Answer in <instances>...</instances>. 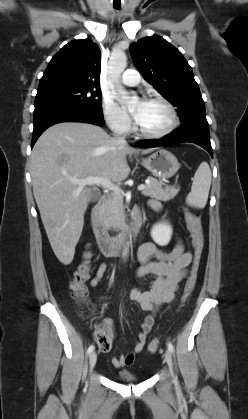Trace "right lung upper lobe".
<instances>
[{
  "label": "right lung upper lobe",
  "instance_id": "1",
  "mask_svg": "<svg viewBox=\"0 0 248 419\" xmlns=\"http://www.w3.org/2000/svg\"><path fill=\"white\" fill-rule=\"evenodd\" d=\"M101 52L89 39L66 44L49 62L38 90L58 87L99 88Z\"/></svg>",
  "mask_w": 248,
  "mask_h": 419
}]
</instances>
